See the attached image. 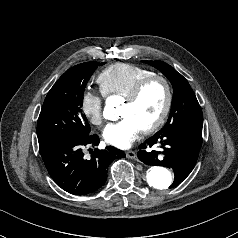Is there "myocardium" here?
I'll return each mask as SVG.
<instances>
[{"label": "myocardium", "mask_w": 238, "mask_h": 238, "mask_svg": "<svg viewBox=\"0 0 238 238\" xmlns=\"http://www.w3.org/2000/svg\"><path fill=\"white\" fill-rule=\"evenodd\" d=\"M154 82H160L165 89V102L159 116L148 126L142 128L141 131L144 134H149L157 130L166 120L173 101V93L171 84L167 78L160 75H152L141 80L131 91V93L125 98L127 104L136 103L146 88Z\"/></svg>", "instance_id": "1"}]
</instances>
